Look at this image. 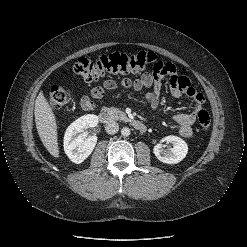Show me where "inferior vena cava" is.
Here are the masks:
<instances>
[{"instance_id": "inferior-vena-cava-1", "label": "inferior vena cava", "mask_w": 247, "mask_h": 247, "mask_svg": "<svg viewBox=\"0 0 247 247\" xmlns=\"http://www.w3.org/2000/svg\"><path fill=\"white\" fill-rule=\"evenodd\" d=\"M105 130L108 134H115L119 130V125L115 121H108L105 125Z\"/></svg>"}]
</instances>
